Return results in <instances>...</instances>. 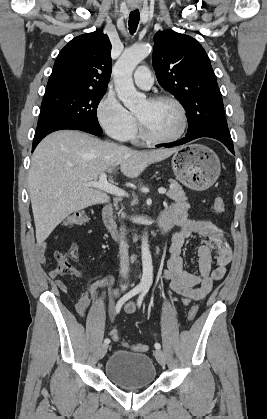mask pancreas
Here are the masks:
<instances>
[{"label": "pancreas", "mask_w": 267, "mask_h": 419, "mask_svg": "<svg viewBox=\"0 0 267 419\" xmlns=\"http://www.w3.org/2000/svg\"><path fill=\"white\" fill-rule=\"evenodd\" d=\"M171 188L167 192V196L175 202H183L187 200L185 193L176 180H169ZM125 214L122 213V216Z\"/></svg>", "instance_id": "cf45deb5"}]
</instances>
